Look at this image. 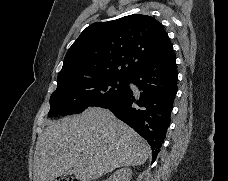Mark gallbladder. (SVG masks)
<instances>
[{
	"instance_id": "gallbladder-1",
	"label": "gallbladder",
	"mask_w": 228,
	"mask_h": 181,
	"mask_svg": "<svg viewBox=\"0 0 228 181\" xmlns=\"http://www.w3.org/2000/svg\"><path fill=\"white\" fill-rule=\"evenodd\" d=\"M66 175H72L73 169H68V171H65Z\"/></svg>"
}]
</instances>
